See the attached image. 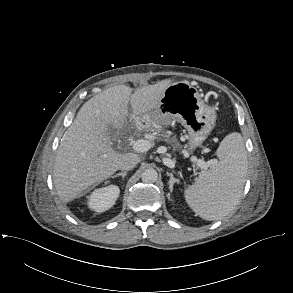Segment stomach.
Listing matches in <instances>:
<instances>
[{"instance_id": "1", "label": "stomach", "mask_w": 293, "mask_h": 293, "mask_svg": "<svg viewBox=\"0 0 293 293\" xmlns=\"http://www.w3.org/2000/svg\"><path fill=\"white\" fill-rule=\"evenodd\" d=\"M159 126L180 122L188 131V149L201 146L215 126V108L204 103L201 94L189 82L170 84L162 94L157 109L145 120Z\"/></svg>"}]
</instances>
